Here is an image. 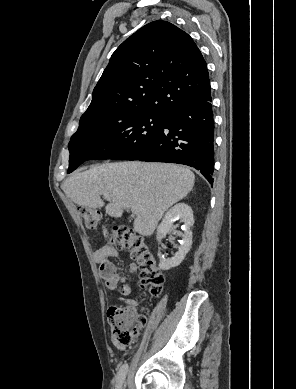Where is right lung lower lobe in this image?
<instances>
[{
	"mask_svg": "<svg viewBox=\"0 0 296 389\" xmlns=\"http://www.w3.org/2000/svg\"><path fill=\"white\" fill-rule=\"evenodd\" d=\"M209 98L166 116L162 128L135 160L184 164L199 170L213 184L214 116Z\"/></svg>",
	"mask_w": 296,
	"mask_h": 389,
	"instance_id": "right-lung-lower-lobe-1",
	"label": "right lung lower lobe"
}]
</instances>
